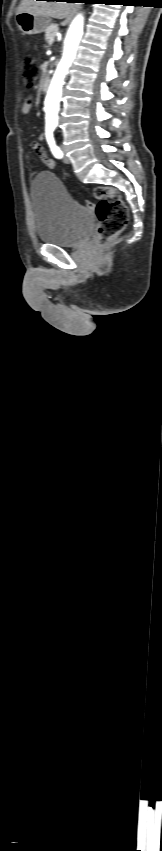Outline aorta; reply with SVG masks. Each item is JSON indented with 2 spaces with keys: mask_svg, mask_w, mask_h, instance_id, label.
Wrapping results in <instances>:
<instances>
[{
  "mask_svg": "<svg viewBox=\"0 0 162 851\" xmlns=\"http://www.w3.org/2000/svg\"><path fill=\"white\" fill-rule=\"evenodd\" d=\"M83 28L84 17L79 14L73 20L67 32L63 55L56 68L47 92L45 100L47 122H56L58 120L59 103L61 100L64 79L68 74V70L73 60L75 59L77 47L83 35Z\"/></svg>",
  "mask_w": 162,
  "mask_h": 851,
  "instance_id": "1",
  "label": "aorta"
}]
</instances>
